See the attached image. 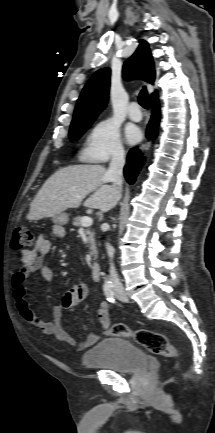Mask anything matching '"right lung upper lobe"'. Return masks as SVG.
Returning a JSON list of instances; mask_svg holds the SVG:
<instances>
[{
  "label": "right lung upper lobe",
  "instance_id": "1",
  "mask_svg": "<svg viewBox=\"0 0 215 433\" xmlns=\"http://www.w3.org/2000/svg\"><path fill=\"white\" fill-rule=\"evenodd\" d=\"M123 75L127 79L138 78L149 83L154 82V63L146 41L140 40L135 53L124 63ZM109 86L110 69L103 68L95 72L78 99L71 124L95 120L106 107ZM154 95L156 93L150 98Z\"/></svg>",
  "mask_w": 215,
  "mask_h": 433
}]
</instances>
